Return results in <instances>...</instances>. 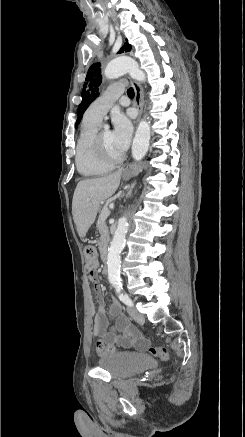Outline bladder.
<instances>
[{
    "mask_svg": "<svg viewBox=\"0 0 245 437\" xmlns=\"http://www.w3.org/2000/svg\"><path fill=\"white\" fill-rule=\"evenodd\" d=\"M99 366L113 378L125 379L154 365V360L143 353L111 352L102 354Z\"/></svg>",
    "mask_w": 245,
    "mask_h": 437,
    "instance_id": "obj_1",
    "label": "bladder"
}]
</instances>
